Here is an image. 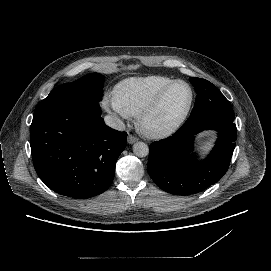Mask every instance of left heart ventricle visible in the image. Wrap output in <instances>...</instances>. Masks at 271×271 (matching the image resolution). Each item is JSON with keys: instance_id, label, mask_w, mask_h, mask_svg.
Here are the masks:
<instances>
[{"instance_id": "obj_1", "label": "left heart ventricle", "mask_w": 271, "mask_h": 271, "mask_svg": "<svg viewBox=\"0 0 271 271\" xmlns=\"http://www.w3.org/2000/svg\"><path fill=\"white\" fill-rule=\"evenodd\" d=\"M191 100V89L185 83L176 84L168 93L161 107L149 118L150 128H165L176 122Z\"/></svg>"}]
</instances>
